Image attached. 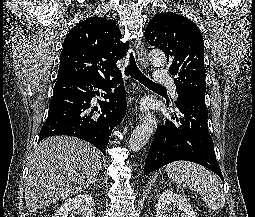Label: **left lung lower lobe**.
<instances>
[{
	"mask_svg": "<svg viewBox=\"0 0 255 217\" xmlns=\"http://www.w3.org/2000/svg\"><path fill=\"white\" fill-rule=\"evenodd\" d=\"M177 107L179 115L173 116L176 121L167 120L156 129L145 162L144 174L156 171L173 161L186 160L210 169L223 180L208 131L205 100L179 94Z\"/></svg>",
	"mask_w": 255,
	"mask_h": 217,
	"instance_id": "1",
	"label": "left lung lower lobe"
}]
</instances>
